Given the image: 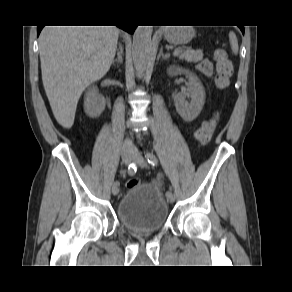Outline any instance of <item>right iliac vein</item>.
<instances>
[{"instance_id": "obj_1", "label": "right iliac vein", "mask_w": 292, "mask_h": 292, "mask_svg": "<svg viewBox=\"0 0 292 292\" xmlns=\"http://www.w3.org/2000/svg\"><path fill=\"white\" fill-rule=\"evenodd\" d=\"M122 161L124 164L129 165L133 161V156L131 154L124 153L122 154ZM112 193L113 195H117L119 193V187L116 185H113Z\"/></svg>"}]
</instances>
